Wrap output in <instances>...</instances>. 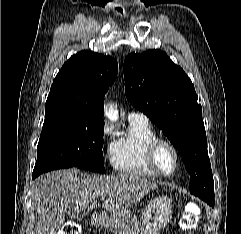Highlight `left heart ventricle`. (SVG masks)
Returning a JSON list of instances; mask_svg holds the SVG:
<instances>
[{
    "label": "left heart ventricle",
    "instance_id": "1",
    "mask_svg": "<svg viewBox=\"0 0 241 234\" xmlns=\"http://www.w3.org/2000/svg\"><path fill=\"white\" fill-rule=\"evenodd\" d=\"M158 162L164 171H170L174 167V155L171 150L165 146L160 147L158 151Z\"/></svg>",
    "mask_w": 241,
    "mask_h": 234
}]
</instances>
